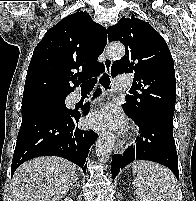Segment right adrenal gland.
Wrapping results in <instances>:
<instances>
[{
    "label": "right adrenal gland",
    "mask_w": 196,
    "mask_h": 201,
    "mask_svg": "<svg viewBox=\"0 0 196 201\" xmlns=\"http://www.w3.org/2000/svg\"><path fill=\"white\" fill-rule=\"evenodd\" d=\"M79 186H80V185H79V183H78V177H77V175L75 174V180H74L73 184H71L70 190H73L75 187H79Z\"/></svg>",
    "instance_id": "right-adrenal-gland-1"
}]
</instances>
